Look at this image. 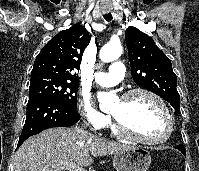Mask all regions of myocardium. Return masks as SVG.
I'll list each match as a JSON object with an SVG mask.
<instances>
[{"mask_svg":"<svg viewBox=\"0 0 199 171\" xmlns=\"http://www.w3.org/2000/svg\"><path fill=\"white\" fill-rule=\"evenodd\" d=\"M140 94L146 95L152 98L162 109L167 121L166 134L162 138H159V139H152L145 136H141L131 131L120 118L111 114V117L113 120V128L115 132L125 138L131 139L140 143L150 144V145H159V144H164L168 142L171 139L174 132V121H173L169 107L167 106L166 102L158 94H156L155 92L147 88H134V89H130L124 92L121 96V100L125 101V100L130 99L133 96L140 95Z\"/></svg>","mask_w":199,"mask_h":171,"instance_id":"1","label":"myocardium"}]
</instances>
